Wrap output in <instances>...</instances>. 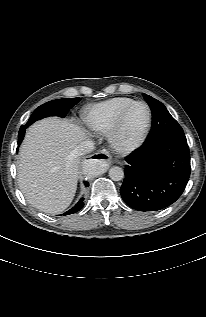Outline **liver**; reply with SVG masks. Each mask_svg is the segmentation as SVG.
Instances as JSON below:
<instances>
[{
	"instance_id": "1",
	"label": "liver",
	"mask_w": 206,
	"mask_h": 317,
	"mask_svg": "<svg viewBox=\"0 0 206 317\" xmlns=\"http://www.w3.org/2000/svg\"><path fill=\"white\" fill-rule=\"evenodd\" d=\"M85 138L83 129L57 117L29 127L19 152L18 182L32 206L55 215L71 204L79 174L77 146Z\"/></svg>"
}]
</instances>
